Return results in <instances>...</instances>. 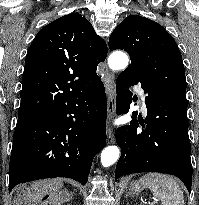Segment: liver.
Here are the masks:
<instances>
[{"label":"liver","instance_id":"liver-1","mask_svg":"<svg viewBox=\"0 0 199 205\" xmlns=\"http://www.w3.org/2000/svg\"><path fill=\"white\" fill-rule=\"evenodd\" d=\"M62 180H41L34 182L27 192L18 191L17 205H40L43 204L42 198L48 197V202L54 205H60L68 201L71 197L66 191H62Z\"/></svg>","mask_w":199,"mask_h":205}]
</instances>
